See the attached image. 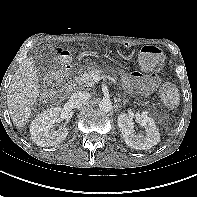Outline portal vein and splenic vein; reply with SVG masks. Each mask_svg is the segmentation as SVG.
<instances>
[{
    "mask_svg": "<svg viewBox=\"0 0 197 197\" xmlns=\"http://www.w3.org/2000/svg\"><path fill=\"white\" fill-rule=\"evenodd\" d=\"M100 79H101V78H100L99 76H95V77H94L95 82L100 81Z\"/></svg>",
    "mask_w": 197,
    "mask_h": 197,
    "instance_id": "18ae733b",
    "label": "portal vein and splenic vein"
}]
</instances>
